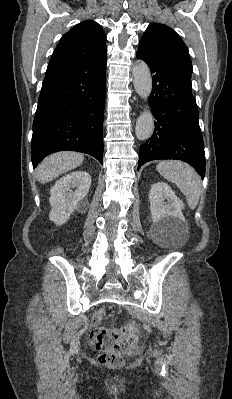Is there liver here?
I'll use <instances>...</instances> for the list:
<instances>
[{"mask_svg":"<svg viewBox=\"0 0 232 399\" xmlns=\"http://www.w3.org/2000/svg\"><path fill=\"white\" fill-rule=\"evenodd\" d=\"M83 160V154H76V152L52 154V156H47L42 164H39L36 178L41 184L52 182L54 178H58L61 174H66V172L81 166Z\"/></svg>","mask_w":232,"mask_h":399,"instance_id":"liver-1","label":"liver"}]
</instances>
